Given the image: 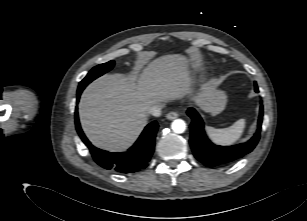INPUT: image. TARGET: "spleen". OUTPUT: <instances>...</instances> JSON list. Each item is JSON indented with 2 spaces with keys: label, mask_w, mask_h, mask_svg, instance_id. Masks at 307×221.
<instances>
[{
  "label": "spleen",
  "mask_w": 307,
  "mask_h": 221,
  "mask_svg": "<svg viewBox=\"0 0 307 221\" xmlns=\"http://www.w3.org/2000/svg\"><path fill=\"white\" fill-rule=\"evenodd\" d=\"M245 119L237 120L233 125L228 128L216 129L214 127L207 126L205 128L209 138L218 145H231L235 143L243 134L245 129Z\"/></svg>",
  "instance_id": "1"
}]
</instances>
